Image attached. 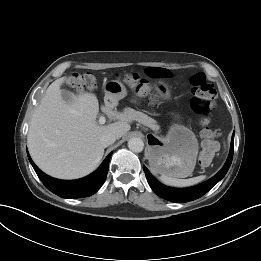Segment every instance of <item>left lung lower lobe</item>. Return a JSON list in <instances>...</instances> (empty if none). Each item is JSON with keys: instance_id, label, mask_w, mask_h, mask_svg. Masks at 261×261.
Listing matches in <instances>:
<instances>
[{"instance_id": "1", "label": "left lung lower lobe", "mask_w": 261, "mask_h": 261, "mask_svg": "<svg viewBox=\"0 0 261 261\" xmlns=\"http://www.w3.org/2000/svg\"><path fill=\"white\" fill-rule=\"evenodd\" d=\"M233 147H234V132L232 135L230 153L223 168L208 181L190 188L176 189V188L167 187L161 184L155 178H153V176L150 174L149 170L145 166H143V169L146 174V178L150 187L158 196L172 202L184 203V202L195 200L203 196L225 176L232 162L233 152H234Z\"/></svg>"}]
</instances>
